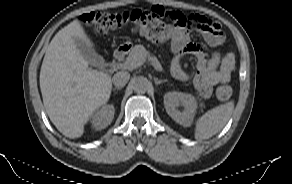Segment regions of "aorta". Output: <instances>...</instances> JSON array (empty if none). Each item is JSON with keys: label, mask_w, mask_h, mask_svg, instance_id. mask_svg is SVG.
Segmentation results:
<instances>
[{"label": "aorta", "mask_w": 292, "mask_h": 184, "mask_svg": "<svg viewBox=\"0 0 292 184\" xmlns=\"http://www.w3.org/2000/svg\"><path fill=\"white\" fill-rule=\"evenodd\" d=\"M132 87L137 93H145L150 88V82L146 77H136L132 82Z\"/></svg>", "instance_id": "1"}]
</instances>
